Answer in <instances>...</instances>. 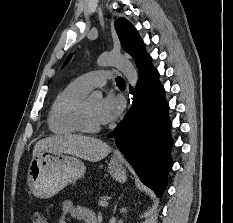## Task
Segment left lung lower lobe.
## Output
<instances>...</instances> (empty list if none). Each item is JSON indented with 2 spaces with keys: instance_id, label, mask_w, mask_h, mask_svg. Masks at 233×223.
I'll return each instance as SVG.
<instances>
[{
  "instance_id": "0a47b994",
  "label": "left lung lower lobe",
  "mask_w": 233,
  "mask_h": 223,
  "mask_svg": "<svg viewBox=\"0 0 233 223\" xmlns=\"http://www.w3.org/2000/svg\"><path fill=\"white\" fill-rule=\"evenodd\" d=\"M140 81L132 107L124 119L109 133L142 182L161 197L167 185V173L172 166L173 144L168 118V104L157 70L145 49L136 59Z\"/></svg>"
}]
</instances>
